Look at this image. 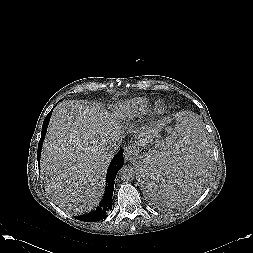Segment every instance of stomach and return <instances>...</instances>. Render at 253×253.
I'll return each instance as SVG.
<instances>
[{
    "label": "stomach",
    "mask_w": 253,
    "mask_h": 253,
    "mask_svg": "<svg viewBox=\"0 0 253 253\" xmlns=\"http://www.w3.org/2000/svg\"><path fill=\"white\" fill-rule=\"evenodd\" d=\"M154 140L155 146L153 150H150L149 152L145 153L144 156L140 158V160L137 162V171H138V180L143 184L146 185L144 181V174L147 171L148 167L153 164L155 161H157V148L161 140L158 136H154L152 138ZM202 185V184H201ZM202 186L198 188L197 191H200ZM195 195V194H194Z\"/></svg>",
    "instance_id": "1"
}]
</instances>
